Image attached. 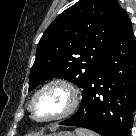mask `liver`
<instances>
[{"instance_id": "1", "label": "liver", "mask_w": 136, "mask_h": 136, "mask_svg": "<svg viewBox=\"0 0 136 136\" xmlns=\"http://www.w3.org/2000/svg\"><path fill=\"white\" fill-rule=\"evenodd\" d=\"M36 136H43V133H39V134H37Z\"/></svg>"}]
</instances>
